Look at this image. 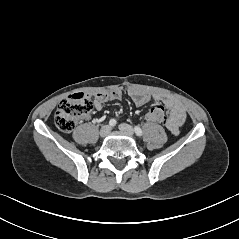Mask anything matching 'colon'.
I'll return each mask as SVG.
<instances>
[{
    "mask_svg": "<svg viewBox=\"0 0 239 239\" xmlns=\"http://www.w3.org/2000/svg\"><path fill=\"white\" fill-rule=\"evenodd\" d=\"M92 108L93 103L88 95L83 93L69 95L60 102L55 112V124L59 130L70 132L78 120L87 115ZM145 117L152 124L166 123L164 108L160 105H152Z\"/></svg>",
    "mask_w": 239,
    "mask_h": 239,
    "instance_id": "obj_1",
    "label": "colon"
}]
</instances>
